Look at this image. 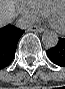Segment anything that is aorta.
Wrapping results in <instances>:
<instances>
[{"instance_id": "aorta-1", "label": "aorta", "mask_w": 65, "mask_h": 89, "mask_svg": "<svg viewBox=\"0 0 65 89\" xmlns=\"http://www.w3.org/2000/svg\"><path fill=\"white\" fill-rule=\"evenodd\" d=\"M58 34L54 31H45L42 35V42L46 48H53L58 44Z\"/></svg>"}]
</instances>
